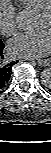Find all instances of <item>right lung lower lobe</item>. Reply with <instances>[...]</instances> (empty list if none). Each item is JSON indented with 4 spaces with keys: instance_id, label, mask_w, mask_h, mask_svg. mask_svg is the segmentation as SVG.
Masks as SVG:
<instances>
[{
    "instance_id": "98d812e1",
    "label": "right lung lower lobe",
    "mask_w": 51,
    "mask_h": 153,
    "mask_svg": "<svg viewBox=\"0 0 51 153\" xmlns=\"http://www.w3.org/2000/svg\"><path fill=\"white\" fill-rule=\"evenodd\" d=\"M3 49L4 44L2 42L0 44V88H2L9 81L11 77L12 66L15 64L13 62L5 63L3 61Z\"/></svg>"
}]
</instances>
